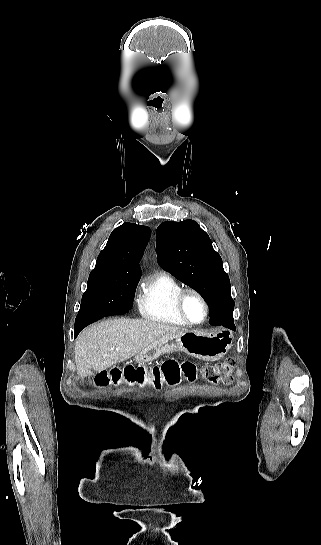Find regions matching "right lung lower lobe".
<instances>
[{"label": "right lung lower lobe", "mask_w": 321, "mask_h": 545, "mask_svg": "<svg viewBox=\"0 0 321 545\" xmlns=\"http://www.w3.org/2000/svg\"><path fill=\"white\" fill-rule=\"evenodd\" d=\"M133 299H134V294L133 295H121V296L116 297L106 307V310H105V313H104L103 317L111 316V315H121V314H124V313L128 312L132 308ZM95 321H97V320L93 319V320H88V321L75 322V327H74L75 336H77L79 334V332L84 327H86L87 325H89V324H91V323H93Z\"/></svg>", "instance_id": "98d812e1"}]
</instances>
